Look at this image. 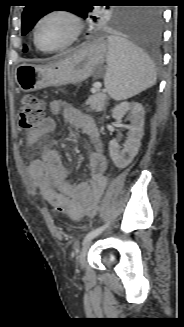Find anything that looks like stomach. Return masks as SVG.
Instances as JSON below:
<instances>
[{"mask_svg":"<svg viewBox=\"0 0 184 327\" xmlns=\"http://www.w3.org/2000/svg\"><path fill=\"white\" fill-rule=\"evenodd\" d=\"M108 55L105 41H94L64 59L48 65L20 64L15 70V80L24 92L50 86L78 84L102 73Z\"/></svg>","mask_w":184,"mask_h":327,"instance_id":"stomach-1","label":"stomach"}]
</instances>
